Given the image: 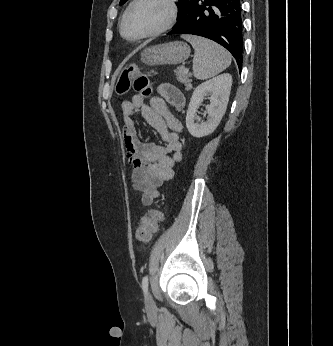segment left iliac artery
Returning a JSON list of instances; mask_svg holds the SVG:
<instances>
[{
  "instance_id": "1",
  "label": "left iliac artery",
  "mask_w": 333,
  "mask_h": 346,
  "mask_svg": "<svg viewBox=\"0 0 333 346\" xmlns=\"http://www.w3.org/2000/svg\"><path fill=\"white\" fill-rule=\"evenodd\" d=\"M148 283H149V277L148 275H145L142 279V289L144 293H147L148 291Z\"/></svg>"
}]
</instances>
